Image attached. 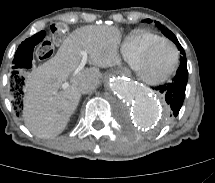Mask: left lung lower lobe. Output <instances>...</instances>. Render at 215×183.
<instances>
[{
    "instance_id": "left-lung-lower-lobe-1",
    "label": "left lung lower lobe",
    "mask_w": 215,
    "mask_h": 183,
    "mask_svg": "<svg viewBox=\"0 0 215 183\" xmlns=\"http://www.w3.org/2000/svg\"><path fill=\"white\" fill-rule=\"evenodd\" d=\"M188 80L187 60H181L175 77L170 83L155 87L167 103V119L176 117L182 107Z\"/></svg>"
}]
</instances>
